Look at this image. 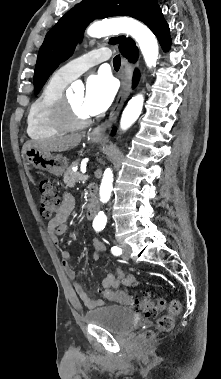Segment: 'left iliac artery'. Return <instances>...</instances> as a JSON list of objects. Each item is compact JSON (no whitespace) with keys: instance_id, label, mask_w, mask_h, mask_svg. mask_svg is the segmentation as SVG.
Returning <instances> with one entry per match:
<instances>
[{"instance_id":"obj_1","label":"left iliac artery","mask_w":221,"mask_h":379,"mask_svg":"<svg viewBox=\"0 0 221 379\" xmlns=\"http://www.w3.org/2000/svg\"><path fill=\"white\" fill-rule=\"evenodd\" d=\"M102 229H103V228H102ZM96 230H97V231H100V229H96ZM111 252H112L113 255L118 256V255H121V254H122V249H121L120 247L113 246V247L111 248Z\"/></svg>"}]
</instances>
